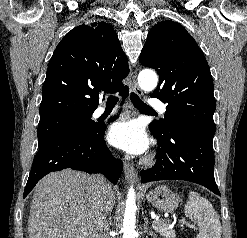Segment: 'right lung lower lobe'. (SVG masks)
Wrapping results in <instances>:
<instances>
[{"instance_id":"right-lung-lower-lobe-1","label":"right lung lower lobe","mask_w":247,"mask_h":238,"mask_svg":"<svg viewBox=\"0 0 247 238\" xmlns=\"http://www.w3.org/2000/svg\"><path fill=\"white\" fill-rule=\"evenodd\" d=\"M120 93L126 97L128 88ZM96 125V128L88 134H68L40 145L33 161L23 198L29 194L42 177L52 171L65 168L88 173L101 172L116 184L122 173V162L113 158L105 144L106 125L99 123Z\"/></svg>"}]
</instances>
